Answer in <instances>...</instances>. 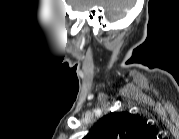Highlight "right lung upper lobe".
Here are the masks:
<instances>
[{
	"instance_id": "obj_1",
	"label": "right lung upper lobe",
	"mask_w": 179,
	"mask_h": 139,
	"mask_svg": "<svg viewBox=\"0 0 179 139\" xmlns=\"http://www.w3.org/2000/svg\"><path fill=\"white\" fill-rule=\"evenodd\" d=\"M149 125L129 112L111 113L101 118L87 139H148L152 136Z\"/></svg>"
}]
</instances>
